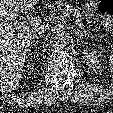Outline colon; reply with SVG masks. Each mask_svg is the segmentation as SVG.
<instances>
[{
	"instance_id": "1",
	"label": "colon",
	"mask_w": 113,
	"mask_h": 113,
	"mask_svg": "<svg viewBox=\"0 0 113 113\" xmlns=\"http://www.w3.org/2000/svg\"><path fill=\"white\" fill-rule=\"evenodd\" d=\"M98 11L106 22H113V0H100Z\"/></svg>"
}]
</instances>
